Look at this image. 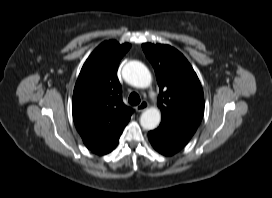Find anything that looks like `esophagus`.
Segmentation results:
<instances>
[{
    "instance_id": "esophagus-1",
    "label": "esophagus",
    "mask_w": 272,
    "mask_h": 198,
    "mask_svg": "<svg viewBox=\"0 0 272 198\" xmlns=\"http://www.w3.org/2000/svg\"><path fill=\"white\" fill-rule=\"evenodd\" d=\"M147 108H148V103L146 101H142L139 105L136 106L135 109L137 112H142Z\"/></svg>"
}]
</instances>
